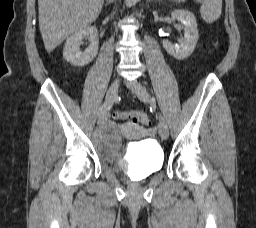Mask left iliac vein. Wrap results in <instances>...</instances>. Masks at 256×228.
Here are the masks:
<instances>
[{
    "instance_id": "left-iliac-vein-1",
    "label": "left iliac vein",
    "mask_w": 256,
    "mask_h": 228,
    "mask_svg": "<svg viewBox=\"0 0 256 228\" xmlns=\"http://www.w3.org/2000/svg\"><path fill=\"white\" fill-rule=\"evenodd\" d=\"M127 86L135 93L139 100L147 103L150 102L151 97L146 88L137 80L127 82ZM158 132L162 139H167L169 136V129L166 120L163 116H159Z\"/></svg>"
}]
</instances>
